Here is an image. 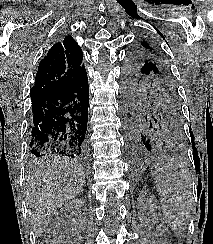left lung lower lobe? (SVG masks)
<instances>
[{
    "label": "left lung lower lobe",
    "instance_id": "left-lung-lower-lobe-1",
    "mask_svg": "<svg viewBox=\"0 0 213 244\" xmlns=\"http://www.w3.org/2000/svg\"><path fill=\"white\" fill-rule=\"evenodd\" d=\"M122 114L127 149L133 157L147 155L163 141L156 127L149 124L134 110L123 106Z\"/></svg>",
    "mask_w": 213,
    "mask_h": 244
}]
</instances>
